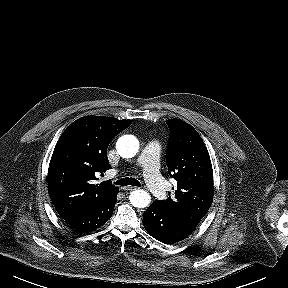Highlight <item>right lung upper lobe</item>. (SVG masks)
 Returning <instances> with one entry per match:
<instances>
[{
  "label": "right lung upper lobe",
  "mask_w": 288,
  "mask_h": 288,
  "mask_svg": "<svg viewBox=\"0 0 288 288\" xmlns=\"http://www.w3.org/2000/svg\"><path fill=\"white\" fill-rule=\"evenodd\" d=\"M132 120L86 116L69 125L59 138L48 169V192L61 216L87 211L119 192L110 181L94 184L110 169L107 147Z\"/></svg>",
  "instance_id": "cb5924a9"
}]
</instances>
